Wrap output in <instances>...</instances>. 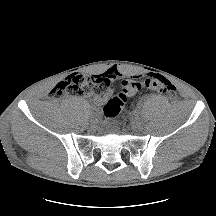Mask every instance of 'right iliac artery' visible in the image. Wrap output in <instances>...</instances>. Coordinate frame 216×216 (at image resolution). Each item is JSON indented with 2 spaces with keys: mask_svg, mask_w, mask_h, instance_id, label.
I'll return each instance as SVG.
<instances>
[{
  "mask_svg": "<svg viewBox=\"0 0 216 216\" xmlns=\"http://www.w3.org/2000/svg\"><path fill=\"white\" fill-rule=\"evenodd\" d=\"M94 113H95V112H94L93 110H92V111H88V112H87V115H88L89 117H92Z\"/></svg>",
  "mask_w": 216,
  "mask_h": 216,
  "instance_id": "1",
  "label": "right iliac artery"
}]
</instances>
